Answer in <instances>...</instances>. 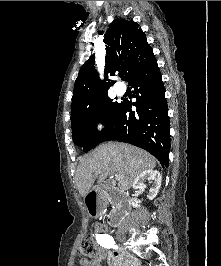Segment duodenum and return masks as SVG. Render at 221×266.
<instances>
[{
	"instance_id": "1",
	"label": "duodenum",
	"mask_w": 221,
	"mask_h": 266,
	"mask_svg": "<svg viewBox=\"0 0 221 266\" xmlns=\"http://www.w3.org/2000/svg\"><path fill=\"white\" fill-rule=\"evenodd\" d=\"M110 195L111 199L118 203V206L108 213V223L111 226H119L130 212V201L117 190L108 191L103 185L86 191L85 206L89 216H100L101 206H105V198Z\"/></svg>"
}]
</instances>
